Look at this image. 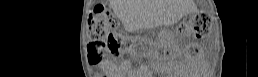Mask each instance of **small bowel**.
Instances as JSON below:
<instances>
[{
  "mask_svg": "<svg viewBox=\"0 0 258 77\" xmlns=\"http://www.w3.org/2000/svg\"><path fill=\"white\" fill-rule=\"evenodd\" d=\"M192 61H193V63H195V62H196V58H195V57H193Z\"/></svg>",
  "mask_w": 258,
  "mask_h": 77,
  "instance_id": "c3829d8e",
  "label": "small bowel"
}]
</instances>
